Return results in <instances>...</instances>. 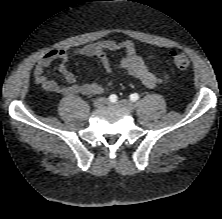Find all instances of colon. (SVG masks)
Listing matches in <instances>:
<instances>
[{"label":"colon","mask_w":222,"mask_h":219,"mask_svg":"<svg viewBox=\"0 0 222 219\" xmlns=\"http://www.w3.org/2000/svg\"><path fill=\"white\" fill-rule=\"evenodd\" d=\"M168 56L176 68L180 70H187L190 68V60L185 54L171 50L168 52Z\"/></svg>","instance_id":"colon-1"}]
</instances>
